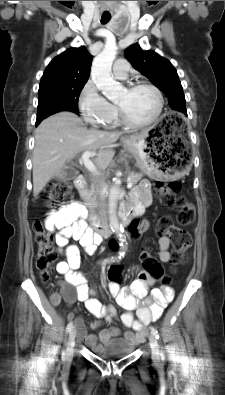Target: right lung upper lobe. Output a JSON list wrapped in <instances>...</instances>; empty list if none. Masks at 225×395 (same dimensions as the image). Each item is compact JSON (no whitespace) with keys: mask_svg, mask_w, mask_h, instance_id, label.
<instances>
[{"mask_svg":"<svg viewBox=\"0 0 225 395\" xmlns=\"http://www.w3.org/2000/svg\"><path fill=\"white\" fill-rule=\"evenodd\" d=\"M92 55L86 47L70 48L55 57L47 66L40 85L51 83L87 82Z\"/></svg>","mask_w":225,"mask_h":395,"instance_id":"right-lung-upper-lobe-1","label":"right lung upper lobe"}]
</instances>
